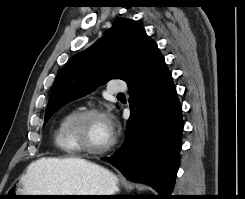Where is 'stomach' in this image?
<instances>
[{"label":"stomach","mask_w":245,"mask_h":199,"mask_svg":"<svg viewBox=\"0 0 245 199\" xmlns=\"http://www.w3.org/2000/svg\"><path fill=\"white\" fill-rule=\"evenodd\" d=\"M24 183L21 179L20 183L12 186L14 195H114L119 189L118 178L94 163L75 165L61 173L47 174L36 190L26 187ZM74 198L94 197H42V199Z\"/></svg>","instance_id":"obj_1"}]
</instances>
